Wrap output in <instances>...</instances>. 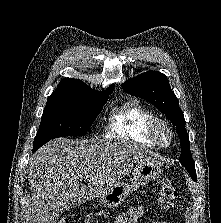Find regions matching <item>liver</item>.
Returning <instances> with one entry per match:
<instances>
[{"label": "liver", "mask_w": 221, "mask_h": 223, "mask_svg": "<svg viewBox=\"0 0 221 223\" xmlns=\"http://www.w3.org/2000/svg\"><path fill=\"white\" fill-rule=\"evenodd\" d=\"M155 156L127 141L78 143L58 138L46 143L29 161L32 196L26 223H57L63 211L101 197L135 163L155 160ZM83 180L86 184L79 189Z\"/></svg>", "instance_id": "6515ba94"}]
</instances>
